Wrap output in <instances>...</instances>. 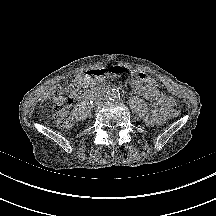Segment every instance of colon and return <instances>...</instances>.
Returning a JSON list of instances; mask_svg holds the SVG:
<instances>
[{
    "label": "colon",
    "mask_w": 216,
    "mask_h": 216,
    "mask_svg": "<svg viewBox=\"0 0 216 216\" xmlns=\"http://www.w3.org/2000/svg\"><path fill=\"white\" fill-rule=\"evenodd\" d=\"M72 99L73 95L69 88L67 89V91L58 89L53 93V122L56 126L67 129L73 125V118L69 113V108L71 106ZM179 115L180 112L177 109H171L168 112V116L171 118H177L179 117Z\"/></svg>",
    "instance_id": "5ec220e1"
}]
</instances>
